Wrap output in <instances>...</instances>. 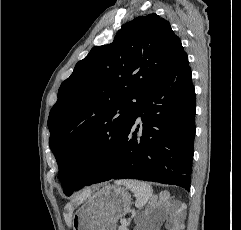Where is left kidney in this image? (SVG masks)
<instances>
[{
  "label": "left kidney",
  "mask_w": 241,
  "mask_h": 230,
  "mask_svg": "<svg viewBox=\"0 0 241 230\" xmlns=\"http://www.w3.org/2000/svg\"><path fill=\"white\" fill-rule=\"evenodd\" d=\"M146 215H149L148 212H146ZM138 230H155V226L152 225L151 221H146L138 228Z\"/></svg>",
  "instance_id": "left-kidney-1"
}]
</instances>
